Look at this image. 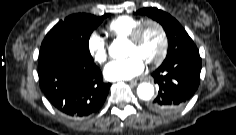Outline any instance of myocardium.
<instances>
[{
    "instance_id": "myocardium-1",
    "label": "myocardium",
    "mask_w": 236,
    "mask_h": 135,
    "mask_svg": "<svg viewBox=\"0 0 236 135\" xmlns=\"http://www.w3.org/2000/svg\"><path fill=\"white\" fill-rule=\"evenodd\" d=\"M148 25H153L154 27H156L158 29V31L160 33V36H161V47H160V51H159L158 55L154 59L146 61V63L148 65H158L164 60V58L167 54L168 44H169L166 30L160 22H158L155 19L143 20L133 30V32L131 33V35L127 39H128L129 43H131L133 45H137L139 43L140 39H141V36L143 34L144 29Z\"/></svg>"
}]
</instances>
